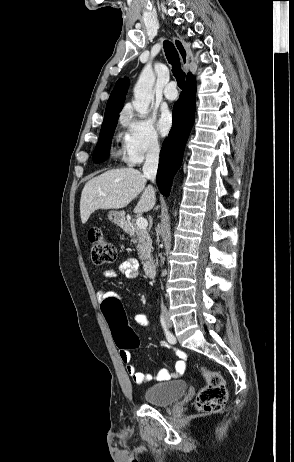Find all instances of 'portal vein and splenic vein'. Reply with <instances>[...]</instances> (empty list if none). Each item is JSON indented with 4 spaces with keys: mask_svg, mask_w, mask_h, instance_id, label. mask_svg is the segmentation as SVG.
<instances>
[{
    "mask_svg": "<svg viewBox=\"0 0 294 462\" xmlns=\"http://www.w3.org/2000/svg\"><path fill=\"white\" fill-rule=\"evenodd\" d=\"M136 224H137V227L139 229H142V230L146 229L147 226H148L147 220L145 218H142V217L137 218Z\"/></svg>",
    "mask_w": 294,
    "mask_h": 462,
    "instance_id": "18ae733b",
    "label": "portal vein and splenic vein"
}]
</instances>
